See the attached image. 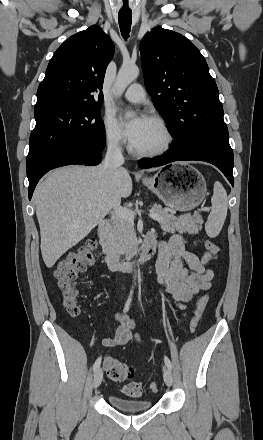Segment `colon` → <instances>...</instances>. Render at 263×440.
Masks as SVG:
<instances>
[{"mask_svg": "<svg viewBox=\"0 0 263 440\" xmlns=\"http://www.w3.org/2000/svg\"><path fill=\"white\" fill-rule=\"evenodd\" d=\"M204 245L208 252L214 258H217L219 254L218 245L211 240H205ZM95 249L96 241L94 239H89L77 251L68 254L58 261L54 268V280L62 293L66 310L71 316H77L80 313V307L78 304L80 291L76 283L77 276L95 262ZM206 303V296H203L198 300L191 321L192 331H195L199 326ZM104 369L108 378L114 382H124L131 379L135 374V370L131 365L111 357H107L104 360ZM148 389L151 392H157L158 384L153 382L148 386ZM123 391L130 396H139L144 391V385L138 382L128 383L123 387Z\"/></svg>", "mask_w": 263, "mask_h": 440, "instance_id": "1", "label": "colon"}]
</instances>
